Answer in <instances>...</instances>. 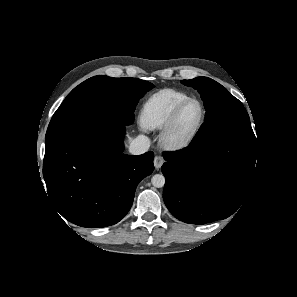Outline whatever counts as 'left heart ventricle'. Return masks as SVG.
I'll return each instance as SVG.
<instances>
[{
  "mask_svg": "<svg viewBox=\"0 0 297 297\" xmlns=\"http://www.w3.org/2000/svg\"><path fill=\"white\" fill-rule=\"evenodd\" d=\"M201 116L200 106L196 102L189 103L181 112L176 125V135H188L196 126Z\"/></svg>",
  "mask_w": 297,
  "mask_h": 297,
  "instance_id": "b2bd125f",
  "label": "left heart ventricle"
}]
</instances>
